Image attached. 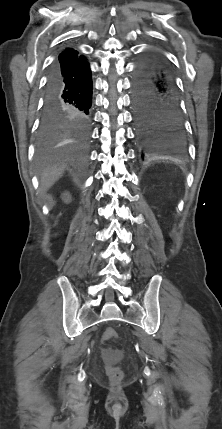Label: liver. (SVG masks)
<instances>
[{"label":"liver","instance_id":"1","mask_svg":"<svg viewBox=\"0 0 222 429\" xmlns=\"http://www.w3.org/2000/svg\"><path fill=\"white\" fill-rule=\"evenodd\" d=\"M64 166H53L43 171L40 178V188L45 192L50 188L63 174Z\"/></svg>","mask_w":222,"mask_h":429}]
</instances>
